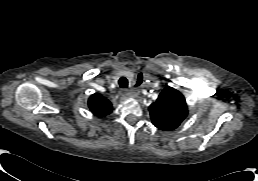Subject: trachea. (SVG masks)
<instances>
[{
	"label": "trachea",
	"mask_w": 258,
	"mask_h": 181,
	"mask_svg": "<svg viewBox=\"0 0 258 181\" xmlns=\"http://www.w3.org/2000/svg\"><path fill=\"white\" fill-rule=\"evenodd\" d=\"M119 86L121 88H127L128 87V80L125 77H121L119 79Z\"/></svg>",
	"instance_id": "1"
}]
</instances>
